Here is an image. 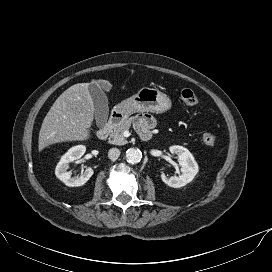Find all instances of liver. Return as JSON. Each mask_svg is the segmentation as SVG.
<instances>
[{"label":"liver","mask_w":272,"mask_h":272,"mask_svg":"<svg viewBox=\"0 0 272 272\" xmlns=\"http://www.w3.org/2000/svg\"><path fill=\"white\" fill-rule=\"evenodd\" d=\"M102 86L107 91L111 88L108 82ZM88 87L89 83L72 85L53 103L39 132L40 152L52 144L90 138L95 107Z\"/></svg>","instance_id":"1"}]
</instances>
